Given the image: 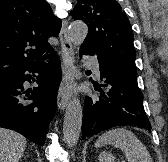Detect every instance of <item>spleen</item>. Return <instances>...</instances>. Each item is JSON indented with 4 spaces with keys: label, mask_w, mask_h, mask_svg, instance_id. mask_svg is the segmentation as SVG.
Masks as SVG:
<instances>
[{
    "label": "spleen",
    "mask_w": 168,
    "mask_h": 162,
    "mask_svg": "<svg viewBox=\"0 0 168 162\" xmlns=\"http://www.w3.org/2000/svg\"><path fill=\"white\" fill-rule=\"evenodd\" d=\"M113 145L120 148L128 162H153L148 150L141 141L125 128H116L106 131L95 143V147ZM100 162H115V157L108 152H101Z\"/></svg>",
    "instance_id": "spleen-1"
}]
</instances>
